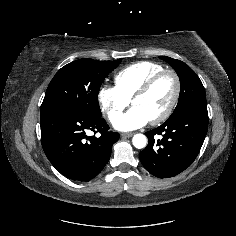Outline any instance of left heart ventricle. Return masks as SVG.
Here are the masks:
<instances>
[{
    "mask_svg": "<svg viewBox=\"0 0 236 236\" xmlns=\"http://www.w3.org/2000/svg\"><path fill=\"white\" fill-rule=\"evenodd\" d=\"M174 93V81L169 75L161 78L148 94L133 101L132 106L138 107L152 120L161 115Z\"/></svg>",
    "mask_w": 236,
    "mask_h": 236,
    "instance_id": "left-heart-ventricle-1",
    "label": "left heart ventricle"
}]
</instances>
